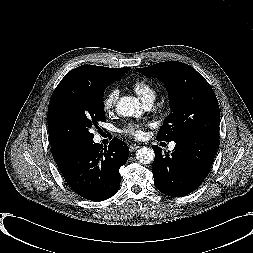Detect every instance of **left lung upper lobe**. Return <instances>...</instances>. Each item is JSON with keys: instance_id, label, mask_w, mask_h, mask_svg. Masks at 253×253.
<instances>
[{"instance_id": "obj_1", "label": "left lung upper lobe", "mask_w": 253, "mask_h": 253, "mask_svg": "<svg viewBox=\"0 0 253 253\" xmlns=\"http://www.w3.org/2000/svg\"><path fill=\"white\" fill-rule=\"evenodd\" d=\"M137 71L166 85L171 114L157 139L175 141L194 135L219 136L220 110L215 93L191 66L177 61L161 62Z\"/></svg>"}]
</instances>
